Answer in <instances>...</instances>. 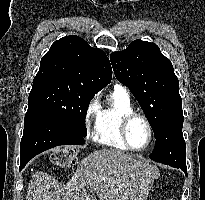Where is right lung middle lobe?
<instances>
[{
	"instance_id": "right-lung-middle-lobe-1",
	"label": "right lung middle lobe",
	"mask_w": 205,
	"mask_h": 200,
	"mask_svg": "<svg viewBox=\"0 0 205 200\" xmlns=\"http://www.w3.org/2000/svg\"><path fill=\"white\" fill-rule=\"evenodd\" d=\"M94 92L59 79L33 80L28 98L29 107H39L85 137V117Z\"/></svg>"
}]
</instances>
